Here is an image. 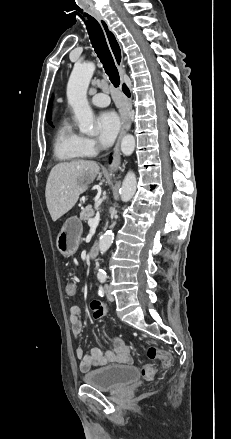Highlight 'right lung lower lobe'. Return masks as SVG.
Segmentation results:
<instances>
[{"label":"right lung lower lobe","instance_id":"obj_1","mask_svg":"<svg viewBox=\"0 0 231 439\" xmlns=\"http://www.w3.org/2000/svg\"><path fill=\"white\" fill-rule=\"evenodd\" d=\"M122 89H123V92L129 97L130 92H129L128 88L125 85H123Z\"/></svg>","mask_w":231,"mask_h":439}]
</instances>
